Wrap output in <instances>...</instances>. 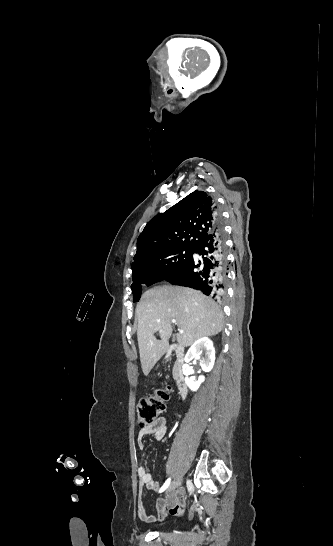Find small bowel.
I'll use <instances>...</instances> for the list:
<instances>
[{"instance_id": "1", "label": "small bowel", "mask_w": 333, "mask_h": 546, "mask_svg": "<svg viewBox=\"0 0 333 546\" xmlns=\"http://www.w3.org/2000/svg\"><path fill=\"white\" fill-rule=\"evenodd\" d=\"M167 433V420L165 417H160L155 420L151 425L146 428H142L137 436V444L140 449L145 446V439L148 436H152L157 441L164 439ZM137 476L139 479L140 488L146 487L150 490H157L158 483L154 479L152 473L145 467L139 466L137 468ZM187 503L184 495L181 491H176L159 500L156 508V513H150L142 500L141 492L137 497V513L141 520L147 523H157L163 521L166 516L170 514L181 515L186 508Z\"/></svg>"}]
</instances>
